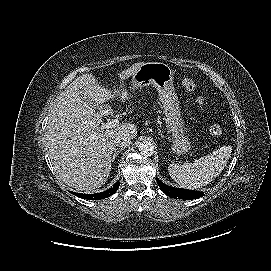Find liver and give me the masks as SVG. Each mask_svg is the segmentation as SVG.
<instances>
[{
	"label": "liver",
	"instance_id": "1",
	"mask_svg": "<svg viewBox=\"0 0 271 271\" xmlns=\"http://www.w3.org/2000/svg\"><path fill=\"white\" fill-rule=\"evenodd\" d=\"M143 64L135 63L120 74L123 81ZM93 74H83L56 98L48 117L45 134L47 152L54 171L68 186L78 191H91L105 184L115 150L114 137L122 132L137 136L134 124L122 123L115 128L101 129L102 116L87 105L88 97L97 104L118 97L129 100L126 88L113 90L102 87ZM130 106V105H129Z\"/></svg>",
	"mask_w": 271,
	"mask_h": 271
}]
</instances>
